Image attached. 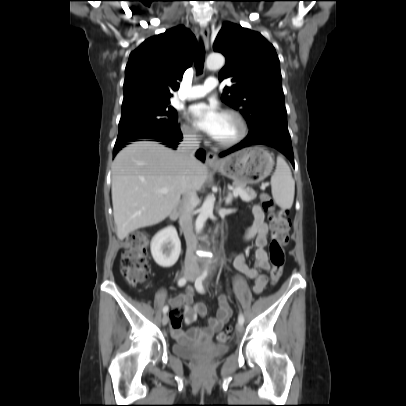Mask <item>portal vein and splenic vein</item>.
<instances>
[{
	"label": "portal vein and splenic vein",
	"mask_w": 406,
	"mask_h": 406,
	"mask_svg": "<svg viewBox=\"0 0 406 406\" xmlns=\"http://www.w3.org/2000/svg\"><path fill=\"white\" fill-rule=\"evenodd\" d=\"M169 192H170L169 188H162V189L157 190V193H160V194H167ZM233 196L234 197L241 196L243 198L248 197L247 194L242 189H239V188H236L233 190Z\"/></svg>",
	"instance_id": "1"
}]
</instances>
